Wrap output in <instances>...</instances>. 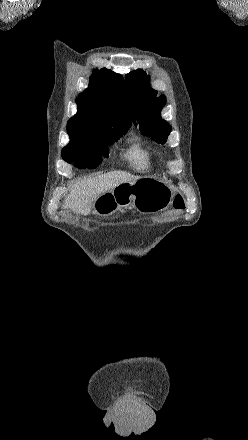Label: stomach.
<instances>
[{
  "instance_id": "1",
  "label": "stomach",
  "mask_w": 248,
  "mask_h": 440,
  "mask_svg": "<svg viewBox=\"0 0 248 440\" xmlns=\"http://www.w3.org/2000/svg\"><path fill=\"white\" fill-rule=\"evenodd\" d=\"M173 193L168 185L149 177L134 183H122L100 195L94 202L97 218L110 215L120 208L132 206L140 212H157L168 207Z\"/></svg>"
}]
</instances>
